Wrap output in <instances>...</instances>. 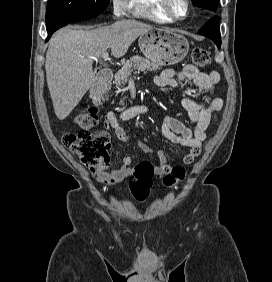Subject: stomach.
I'll return each mask as SVG.
<instances>
[{"label":"stomach","mask_w":272,"mask_h":282,"mask_svg":"<svg viewBox=\"0 0 272 282\" xmlns=\"http://www.w3.org/2000/svg\"><path fill=\"white\" fill-rule=\"evenodd\" d=\"M142 53L159 65H173L182 61L188 51V40L171 29L152 28L138 40Z\"/></svg>","instance_id":"1"}]
</instances>
